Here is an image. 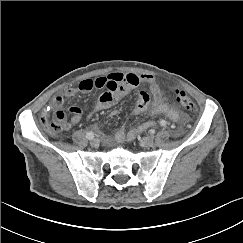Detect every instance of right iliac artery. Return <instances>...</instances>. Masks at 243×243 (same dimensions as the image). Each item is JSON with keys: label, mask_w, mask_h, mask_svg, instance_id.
<instances>
[{"label": "right iliac artery", "mask_w": 243, "mask_h": 243, "mask_svg": "<svg viewBox=\"0 0 243 243\" xmlns=\"http://www.w3.org/2000/svg\"><path fill=\"white\" fill-rule=\"evenodd\" d=\"M86 137H87L88 139H92V138H94V133H93V132H87V133H86Z\"/></svg>", "instance_id": "82829eb1"}]
</instances>
